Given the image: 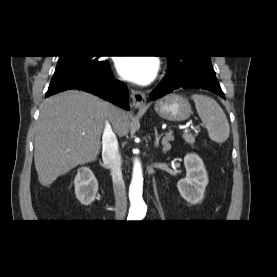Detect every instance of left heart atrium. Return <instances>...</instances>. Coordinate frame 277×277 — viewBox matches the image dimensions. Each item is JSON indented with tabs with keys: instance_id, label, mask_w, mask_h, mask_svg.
<instances>
[{
	"instance_id": "obj_1",
	"label": "left heart atrium",
	"mask_w": 277,
	"mask_h": 277,
	"mask_svg": "<svg viewBox=\"0 0 277 277\" xmlns=\"http://www.w3.org/2000/svg\"><path fill=\"white\" fill-rule=\"evenodd\" d=\"M119 75L138 84H147L153 80L158 63L151 57H120L116 62Z\"/></svg>"
}]
</instances>
